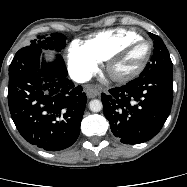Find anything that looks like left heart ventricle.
I'll return each instance as SVG.
<instances>
[{
  "label": "left heart ventricle",
  "mask_w": 187,
  "mask_h": 187,
  "mask_svg": "<svg viewBox=\"0 0 187 187\" xmlns=\"http://www.w3.org/2000/svg\"><path fill=\"white\" fill-rule=\"evenodd\" d=\"M147 52L148 46L145 42L134 44L112 65V73L115 75H123L133 71L142 63Z\"/></svg>",
  "instance_id": "left-heart-ventricle-1"
}]
</instances>
